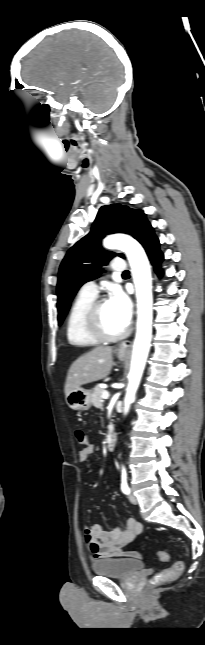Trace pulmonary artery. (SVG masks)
Returning <instances> with one entry per match:
<instances>
[{
    "instance_id": "e3ab8cb5",
    "label": "pulmonary artery",
    "mask_w": 205,
    "mask_h": 645,
    "mask_svg": "<svg viewBox=\"0 0 205 645\" xmlns=\"http://www.w3.org/2000/svg\"><path fill=\"white\" fill-rule=\"evenodd\" d=\"M111 268L115 272H124L126 270V263L122 259H115L111 263ZM80 292L96 296L98 293L97 283L94 280L84 283L80 289Z\"/></svg>"
}]
</instances>
